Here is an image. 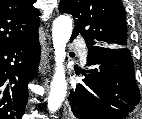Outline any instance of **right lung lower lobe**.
Here are the masks:
<instances>
[{"label": "right lung lower lobe", "mask_w": 142, "mask_h": 119, "mask_svg": "<svg viewBox=\"0 0 142 119\" xmlns=\"http://www.w3.org/2000/svg\"><path fill=\"white\" fill-rule=\"evenodd\" d=\"M38 32L27 40L0 48V119H22L28 83L40 61Z\"/></svg>", "instance_id": "1"}]
</instances>
